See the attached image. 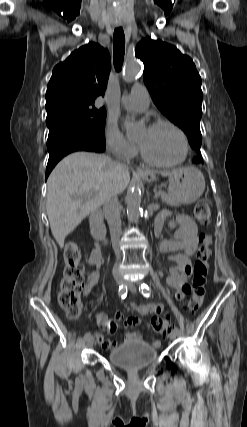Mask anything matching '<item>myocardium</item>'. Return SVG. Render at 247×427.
Here are the masks:
<instances>
[{"label":"myocardium","mask_w":247,"mask_h":427,"mask_svg":"<svg viewBox=\"0 0 247 427\" xmlns=\"http://www.w3.org/2000/svg\"><path fill=\"white\" fill-rule=\"evenodd\" d=\"M162 126H166V127L173 129L178 134V136L180 137L181 144H182L181 156L177 160L171 161V162L158 161V160H155V159H152L151 157H149L148 154L142 148V146L138 143V150H139L140 156L147 163L154 165V166H157V167L178 166L181 163H183L185 161V159L187 158L188 151H189L188 138H187L185 132L178 125H176L175 123H173L169 120L155 121L154 123L150 124L148 128L152 129V128H158V127H162Z\"/></svg>","instance_id":"1"}]
</instances>
